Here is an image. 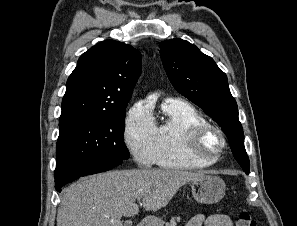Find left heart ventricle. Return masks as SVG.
<instances>
[{
	"label": "left heart ventricle",
	"instance_id": "obj_1",
	"mask_svg": "<svg viewBox=\"0 0 297 226\" xmlns=\"http://www.w3.org/2000/svg\"><path fill=\"white\" fill-rule=\"evenodd\" d=\"M219 147L218 139L211 135L204 142V149L210 153L216 152Z\"/></svg>",
	"mask_w": 297,
	"mask_h": 226
}]
</instances>
